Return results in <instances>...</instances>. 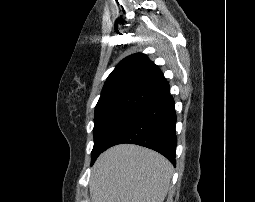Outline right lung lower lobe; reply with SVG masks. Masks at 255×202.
<instances>
[{
    "instance_id": "obj_1",
    "label": "right lung lower lobe",
    "mask_w": 255,
    "mask_h": 202,
    "mask_svg": "<svg viewBox=\"0 0 255 202\" xmlns=\"http://www.w3.org/2000/svg\"><path fill=\"white\" fill-rule=\"evenodd\" d=\"M175 124L174 100L169 94L136 112L114 134L106 149L121 143L138 144L161 153L175 165Z\"/></svg>"
}]
</instances>
